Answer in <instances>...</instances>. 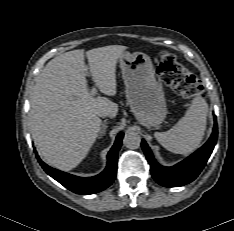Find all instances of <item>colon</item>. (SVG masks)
Instances as JSON below:
<instances>
[{
  "instance_id": "5ec220e1",
  "label": "colon",
  "mask_w": 234,
  "mask_h": 231,
  "mask_svg": "<svg viewBox=\"0 0 234 231\" xmlns=\"http://www.w3.org/2000/svg\"><path fill=\"white\" fill-rule=\"evenodd\" d=\"M156 73L163 83L170 86L183 98L188 99L197 95L205 96L197 76L179 63L171 53H160L156 64Z\"/></svg>"
}]
</instances>
